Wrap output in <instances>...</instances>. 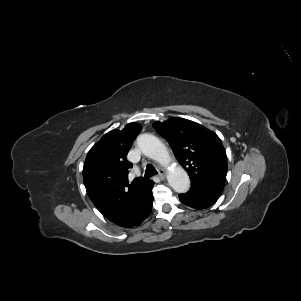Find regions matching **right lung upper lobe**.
Returning <instances> with one entry per match:
<instances>
[{
	"label": "right lung upper lobe",
	"instance_id": "1",
	"mask_svg": "<svg viewBox=\"0 0 301 301\" xmlns=\"http://www.w3.org/2000/svg\"><path fill=\"white\" fill-rule=\"evenodd\" d=\"M141 130L130 123L123 130L105 134L88 152L83 167L87 194L96 208L111 222L121 225L138 206L150 180L136 178L129 184L132 163L128 151Z\"/></svg>",
	"mask_w": 301,
	"mask_h": 301
}]
</instances>
